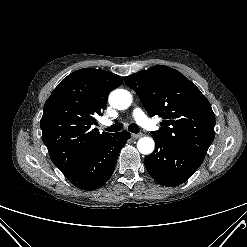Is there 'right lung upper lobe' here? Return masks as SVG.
Segmentation results:
<instances>
[{
	"mask_svg": "<svg viewBox=\"0 0 247 247\" xmlns=\"http://www.w3.org/2000/svg\"><path fill=\"white\" fill-rule=\"evenodd\" d=\"M121 84L122 78L114 73L83 68L65 77L45 102L40 122L42 141L62 173L111 136L100 134L91 125L102 115L109 93Z\"/></svg>",
	"mask_w": 247,
	"mask_h": 247,
	"instance_id": "right-lung-upper-lobe-1",
	"label": "right lung upper lobe"
}]
</instances>
